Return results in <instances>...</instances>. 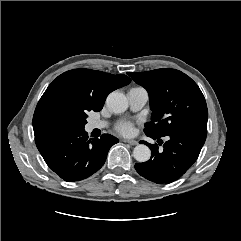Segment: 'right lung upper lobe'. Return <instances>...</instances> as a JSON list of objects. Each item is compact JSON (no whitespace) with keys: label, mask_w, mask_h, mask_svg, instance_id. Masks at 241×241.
<instances>
[{"label":"right lung upper lobe","mask_w":241,"mask_h":241,"mask_svg":"<svg viewBox=\"0 0 241 241\" xmlns=\"http://www.w3.org/2000/svg\"><path fill=\"white\" fill-rule=\"evenodd\" d=\"M130 82L126 75L90 69H74L59 75L37 104L33 116L34 134L47 132L45 126L53 116L78 118L87 116L88 111H100L110 92Z\"/></svg>","instance_id":"cb5924a9"}]
</instances>
